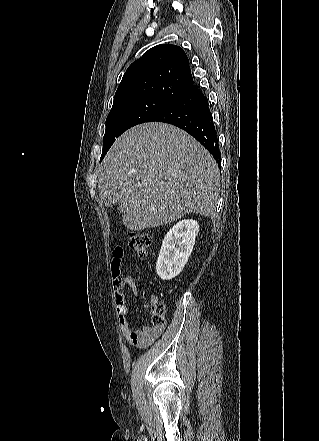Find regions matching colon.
Instances as JSON below:
<instances>
[{
	"mask_svg": "<svg viewBox=\"0 0 319 441\" xmlns=\"http://www.w3.org/2000/svg\"><path fill=\"white\" fill-rule=\"evenodd\" d=\"M152 238L149 233L145 231L133 232L129 237L130 247L134 250L137 256L146 258L150 253V247ZM113 278L114 281L120 283V270L119 265H113ZM150 312L152 315L153 327H160L164 324L166 307L162 302L154 301L150 304Z\"/></svg>",
	"mask_w": 319,
	"mask_h": 441,
	"instance_id": "obj_1",
	"label": "colon"
}]
</instances>
